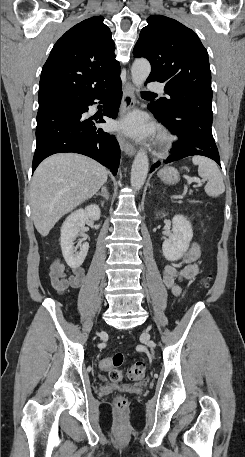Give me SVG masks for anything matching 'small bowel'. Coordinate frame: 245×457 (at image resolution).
<instances>
[{"mask_svg": "<svg viewBox=\"0 0 245 457\" xmlns=\"http://www.w3.org/2000/svg\"><path fill=\"white\" fill-rule=\"evenodd\" d=\"M201 251L197 243H193L183 257V265L176 267L167 265L162 271L164 285L174 295L181 294L179 283L183 280L194 278L198 274L196 261L200 257ZM50 282L54 290L64 293L69 289L79 288L84 281V269L79 266H68L60 260L51 263L48 272Z\"/></svg>", "mask_w": 245, "mask_h": 457, "instance_id": "obj_1", "label": "small bowel"}]
</instances>
